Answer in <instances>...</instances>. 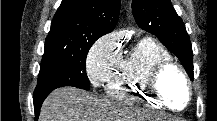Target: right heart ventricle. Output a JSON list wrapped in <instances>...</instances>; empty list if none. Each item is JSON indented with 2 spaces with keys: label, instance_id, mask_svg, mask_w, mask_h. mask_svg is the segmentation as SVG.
Masks as SVG:
<instances>
[{
  "label": "right heart ventricle",
  "instance_id": "e07e8e85",
  "mask_svg": "<svg viewBox=\"0 0 217 121\" xmlns=\"http://www.w3.org/2000/svg\"><path fill=\"white\" fill-rule=\"evenodd\" d=\"M172 60L170 53L157 41L146 37L140 39L125 56L118 59L105 91L116 101L150 103L161 106L151 98L147 81L152 69L159 63Z\"/></svg>",
  "mask_w": 217,
  "mask_h": 121
}]
</instances>
